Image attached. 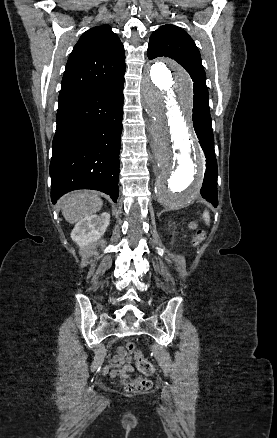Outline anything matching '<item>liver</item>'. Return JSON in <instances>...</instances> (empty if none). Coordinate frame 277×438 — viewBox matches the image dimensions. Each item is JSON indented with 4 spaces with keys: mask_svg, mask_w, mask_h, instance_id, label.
Returning <instances> with one entry per match:
<instances>
[{
    "mask_svg": "<svg viewBox=\"0 0 277 438\" xmlns=\"http://www.w3.org/2000/svg\"><path fill=\"white\" fill-rule=\"evenodd\" d=\"M62 214L69 224H76L79 220H83L85 216H91L95 212H99L103 206L101 198H98L93 192H71L67 196H63Z\"/></svg>",
    "mask_w": 277,
    "mask_h": 438,
    "instance_id": "6515ba94",
    "label": "liver"
}]
</instances>
